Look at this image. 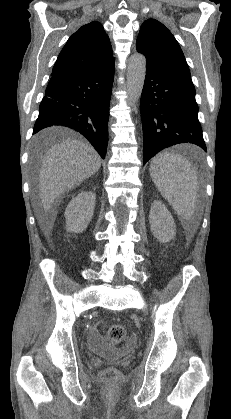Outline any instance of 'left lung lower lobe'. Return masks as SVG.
<instances>
[{
    "mask_svg": "<svg viewBox=\"0 0 231 419\" xmlns=\"http://www.w3.org/2000/svg\"><path fill=\"white\" fill-rule=\"evenodd\" d=\"M191 77L146 69L141 95L145 164L160 150L192 143L206 151Z\"/></svg>",
    "mask_w": 231,
    "mask_h": 419,
    "instance_id": "obj_1",
    "label": "left lung lower lobe"
}]
</instances>
